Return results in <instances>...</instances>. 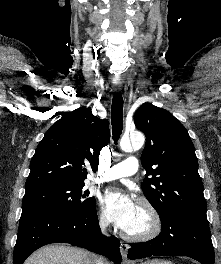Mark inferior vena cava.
Segmentation results:
<instances>
[{
  "label": "inferior vena cava",
  "instance_id": "1",
  "mask_svg": "<svg viewBox=\"0 0 221 264\" xmlns=\"http://www.w3.org/2000/svg\"><path fill=\"white\" fill-rule=\"evenodd\" d=\"M108 225V222L105 220H101L100 226L104 230ZM97 264H104L103 260L101 258H98Z\"/></svg>",
  "mask_w": 221,
  "mask_h": 264
}]
</instances>
